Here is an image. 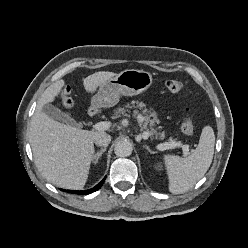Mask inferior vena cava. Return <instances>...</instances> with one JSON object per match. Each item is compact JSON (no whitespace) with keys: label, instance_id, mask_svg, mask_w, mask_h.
Segmentation results:
<instances>
[{"label":"inferior vena cava","instance_id":"1","mask_svg":"<svg viewBox=\"0 0 248 248\" xmlns=\"http://www.w3.org/2000/svg\"><path fill=\"white\" fill-rule=\"evenodd\" d=\"M110 141H111V136L105 132L99 133L94 139V143L97 146H108Z\"/></svg>","mask_w":248,"mask_h":248}]
</instances>
